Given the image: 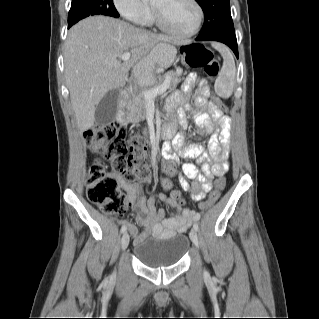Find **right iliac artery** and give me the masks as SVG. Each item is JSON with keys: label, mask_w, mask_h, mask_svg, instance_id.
<instances>
[{"label": "right iliac artery", "mask_w": 319, "mask_h": 319, "mask_svg": "<svg viewBox=\"0 0 319 319\" xmlns=\"http://www.w3.org/2000/svg\"><path fill=\"white\" fill-rule=\"evenodd\" d=\"M126 230H127V228H126L125 226H122V227H121V233L126 232Z\"/></svg>", "instance_id": "obj_1"}]
</instances>
